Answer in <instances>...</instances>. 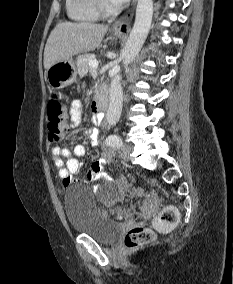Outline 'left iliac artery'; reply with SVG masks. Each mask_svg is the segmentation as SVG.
Segmentation results:
<instances>
[{
	"label": "left iliac artery",
	"mask_w": 233,
	"mask_h": 284,
	"mask_svg": "<svg viewBox=\"0 0 233 284\" xmlns=\"http://www.w3.org/2000/svg\"><path fill=\"white\" fill-rule=\"evenodd\" d=\"M106 145L111 146L113 148H119L122 146V140L117 135H111L106 138Z\"/></svg>",
	"instance_id": "obj_1"
}]
</instances>
